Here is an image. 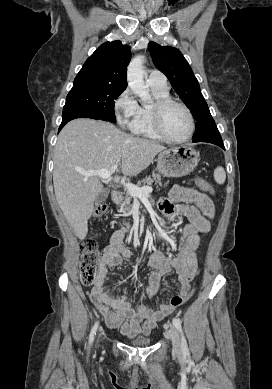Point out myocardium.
<instances>
[{
	"label": "myocardium",
	"mask_w": 272,
	"mask_h": 389,
	"mask_svg": "<svg viewBox=\"0 0 272 389\" xmlns=\"http://www.w3.org/2000/svg\"><path fill=\"white\" fill-rule=\"evenodd\" d=\"M170 105H177V106L181 107L186 112V114L188 116L189 131L182 138L170 137L163 129L162 115H163L164 110ZM151 119H152L153 128H154L155 132L157 133V135L161 139L168 141V142H171V143L186 142L189 139H191V137L193 136V134L195 132V120H194V117H193V114H192L190 108L186 104H184L183 102L178 101V100L173 99V98H170V97L159 99V100L155 101V103L151 107Z\"/></svg>",
	"instance_id": "1"
}]
</instances>
